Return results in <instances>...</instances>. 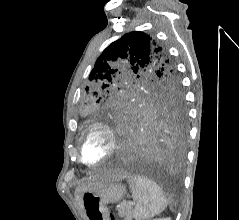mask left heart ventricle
<instances>
[{
  "instance_id": "left-heart-ventricle-1",
  "label": "left heart ventricle",
  "mask_w": 239,
  "mask_h": 220,
  "mask_svg": "<svg viewBox=\"0 0 239 220\" xmlns=\"http://www.w3.org/2000/svg\"><path fill=\"white\" fill-rule=\"evenodd\" d=\"M107 143V137L101 131L91 133L83 145V158L87 162L99 160L106 153Z\"/></svg>"
}]
</instances>
